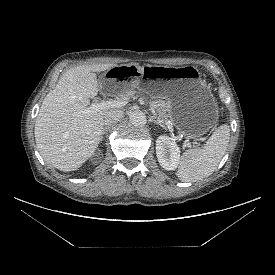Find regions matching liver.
Listing matches in <instances>:
<instances>
[{"mask_svg": "<svg viewBox=\"0 0 275 275\" xmlns=\"http://www.w3.org/2000/svg\"><path fill=\"white\" fill-rule=\"evenodd\" d=\"M114 66L100 63L71 68L44 98L34 134L39 153L51 166L64 172L77 170L95 152L109 109L88 116L77 113L87 109L90 98L100 90L94 72Z\"/></svg>", "mask_w": 275, "mask_h": 275, "instance_id": "liver-1", "label": "liver"}]
</instances>
